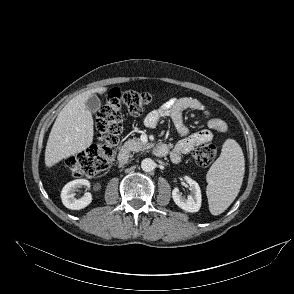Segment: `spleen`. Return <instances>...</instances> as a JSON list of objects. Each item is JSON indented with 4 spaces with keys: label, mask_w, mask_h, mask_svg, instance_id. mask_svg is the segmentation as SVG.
Wrapping results in <instances>:
<instances>
[{
    "label": "spleen",
    "mask_w": 294,
    "mask_h": 294,
    "mask_svg": "<svg viewBox=\"0 0 294 294\" xmlns=\"http://www.w3.org/2000/svg\"><path fill=\"white\" fill-rule=\"evenodd\" d=\"M245 161L240 145L227 139L220 157L207 173L206 194L209 210L213 215L223 213L234 201L242 185Z\"/></svg>",
    "instance_id": "obj_1"
}]
</instances>
